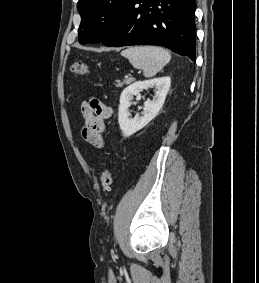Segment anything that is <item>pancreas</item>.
<instances>
[{
	"label": "pancreas",
	"instance_id": "1",
	"mask_svg": "<svg viewBox=\"0 0 259 283\" xmlns=\"http://www.w3.org/2000/svg\"><path fill=\"white\" fill-rule=\"evenodd\" d=\"M133 81H134V79L131 78V77L124 79L122 82L120 80H117L116 83H115V86L116 87H122L123 85H128Z\"/></svg>",
	"mask_w": 259,
	"mask_h": 283
}]
</instances>
